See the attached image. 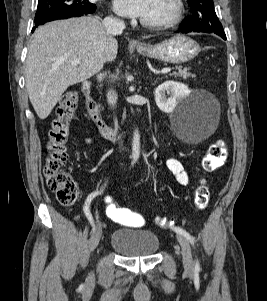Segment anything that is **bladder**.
Wrapping results in <instances>:
<instances>
[{"mask_svg":"<svg viewBox=\"0 0 267 301\" xmlns=\"http://www.w3.org/2000/svg\"><path fill=\"white\" fill-rule=\"evenodd\" d=\"M110 246L125 257L138 258L155 254L160 241L150 230L122 228L113 232Z\"/></svg>","mask_w":267,"mask_h":301,"instance_id":"obj_1","label":"bladder"}]
</instances>
